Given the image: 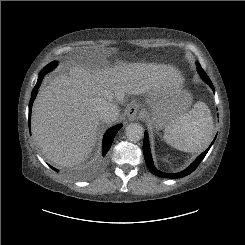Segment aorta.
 I'll use <instances>...</instances> for the list:
<instances>
[{
	"mask_svg": "<svg viewBox=\"0 0 245 245\" xmlns=\"http://www.w3.org/2000/svg\"><path fill=\"white\" fill-rule=\"evenodd\" d=\"M125 134L130 141H139L144 135V129L138 123H131L126 127Z\"/></svg>",
	"mask_w": 245,
	"mask_h": 245,
	"instance_id": "aorta-1",
	"label": "aorta"
}]
</instances>
